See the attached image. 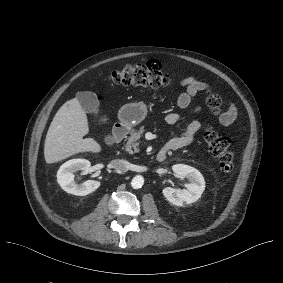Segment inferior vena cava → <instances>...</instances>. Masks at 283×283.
I'll return each mask as SVG.
<instances>
[{"instance_id":"obj_1","label":"inferior vena cava","mask_w":283,"mask_h":283,"mask_svg":"<svg viewBox=\"0 0 283 283\" xmlns=\"http://www.w3.org/2000/svg\"><path fill=\"white\" fill-rule=\"evenodd\" d=\"M114 167H115L116 170H119L121 172H125L126 171L125 164L123 163L122 160L115 161Z\"/></svg>"}]
</instances>
